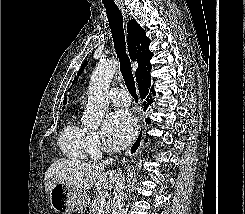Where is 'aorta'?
Wrapping results in <instances>:
<instances>
[{
  "mask_svg": "<svg viewBox=\"0 0 245 214\" xmlns=\"http://www.w3.org/2000/svg\"><path fill=\"white\" fill-rule=\"evenodd\" d=\"M115 59L102 61L95 67L88 86V103L82 117L85 125L98 128L109 106L108 90L117 69Z\"/></svg>",
  "mask_w": 245,
  "mask_h": 214,
  "instance_id": "obj_1",
  "label": "aorta"
}]
</instances>
